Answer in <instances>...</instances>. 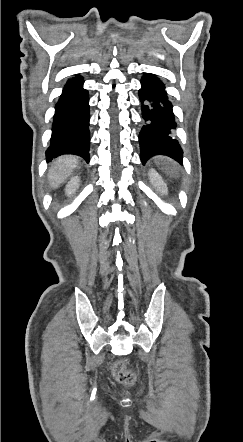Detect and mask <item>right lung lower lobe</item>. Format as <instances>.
<instances>
[{"mask_svg": "<svg viewBox=\"0 0 243 442\" xmlns=\"http://www.w3.org/2000/svg\"><path fill=\"white\" fill-rule=\"evenodd\" d=\"M80 76L69 79L55 105L48 161L63 154H75L89 161V97Z\"/></svg>", "mask_w": 243, "mask_h": 442, "instance_id": "1", "label": "right lung lower lobe"}]
</instances>
